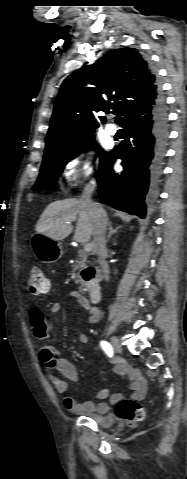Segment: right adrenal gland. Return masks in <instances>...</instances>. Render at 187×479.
I'll use <instances>...</instances> for the list:
<instances>
[{"instance_id":"1","label":"right adrenal gland","mask_w":187,"mask_h":479,"mask_svg":"<svg viewBox=\"0 0 187 479\" xmlns=\"http://www.w3.org/2000/svg\"><path fill=\"white\" fill-rule=\"evenodd\" d=\"M121 227H117L116 229H113L112 224H108V235H107V241L111 238L113 234H115Z\"/></svg>"}]
</instances>
